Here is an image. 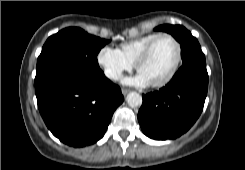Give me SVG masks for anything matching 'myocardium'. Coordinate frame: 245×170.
<instances>
[{"instance_id": "1", "label": "myocardium", "mask_w": 245, "mask_h": 170, "mask_svg": "<svg viewBox=\"0 0 245 170\" xmlns=\"http://www.w3.org/2000/svg\"><path fill=\"white\" fill-rule=\"evenodd\" d=\"M164 37L170 38L173 41L177 49V55L171 70L168 72V74L165 77H163L161 80L156 82H149V85L152 87H162L168 84L176 75L182 60V47L180 42L176 39V37H174L172 34L169 33H160L146 45V47L141 51V53L136 58L135 61L136 70L139 72L141 64L149 57L156 42Z\"/></svg>"}]
</instances>
